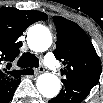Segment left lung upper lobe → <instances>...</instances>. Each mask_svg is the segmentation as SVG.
Here are the masks:
<instances>
[{"instance_id": "1", "label": "left lung upper lobe", "mask_w": 103, "mask_h": 103, "mask_svg": "<svg viewBox=\"0 0 103 103\" xmlns=\"http://www.w3.org/2000/svg\"><path fill=\"white\" fill-rule=\"evenodd\" d=\"M53 20L57 30L54 55L65 66L64 70L61 69L64 75L62 82L95 86L102 67L90 39L76 23L60 16H55Z\"/></svg>"}]
</instances>
